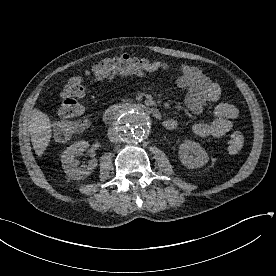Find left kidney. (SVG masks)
Instances as JSON below:
<instances>
[{
    "label": "left kidney",
    "instance_id": "left-kidney-1",
    "mask_svg": "<svg viewBox=\"0 0 276 276\" xmlns=\"http://www.w3.org/2000/svg\"><path fill=\"white\" fill-rule=\"evenodd\" d=\"M179 159L184 166L194 169L203 167L209 157L199 143L187 140L179 146Z\"/></svg>",
    "mask_w": 276,
    "mask_h": 276
}]
</instances>
